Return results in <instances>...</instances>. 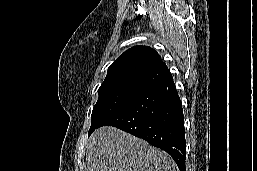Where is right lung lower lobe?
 Here are the masks:
<instances>
[{
    "label": "right lung lower lobe",
    "instance_id": "98d812e1",
    "mask_svg": "<svg viewBox=\"0 0 257 171\" xmlns=\"http://www.w3.org/2000/svg\"><path fill=\"white\" fill-rule=\"evenodd\" d=\"M101 126H114L146 140L169 153L180 171H186L183 109L172 76L134 97Z\"/></svg>",
    "mask_w": 257,
    "mask_h": 171
}]
</instances>
